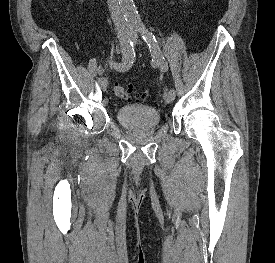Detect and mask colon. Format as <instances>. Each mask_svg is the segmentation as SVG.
<instances>
[{
  "mask_svg": "<svg viewBox=\"0 0 275 263\" xmlns=\"http://www.w3.org/2000/svg\"><path fill=\"white\" fill-rule=\"evenodd\" d=\"M114 94L117 98L122 100H130L134 98L137 102H144L147 99V94L145 92H133L131 89L121 85L114 86Z\"/></svg>",
  "mask_w": 275,
  "mask_h": 263,
  "instance_id": "1",
  "label": "colon"
}]
</instances>
